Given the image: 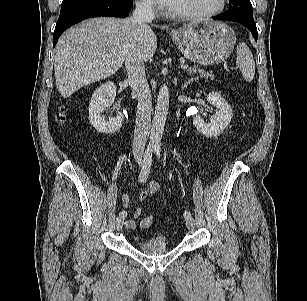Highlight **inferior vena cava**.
Listing matches in <instances>:
<instances>
[{"label": "inferior vena cava", "mask_w": 307, "mask_h": 301, "mask_svg": "<svg viewBox=\"0 0 307 301\" xmlns=\"http://www.w3.org/2000/svg\"><path fill=\"white\" fill-rule=\"evenodd\" d=\"M154 18L155 14L152 10L151 3H136V9L131 17L137 28L135 42L128 47L125 54L128 81L131 85L133 95L138 100L132 146L135 157L143 155L151 128V91L145 75V66L140 45L142 43L145 28Z\"/></svg>", "instance_id": "1"}]
</instances>
